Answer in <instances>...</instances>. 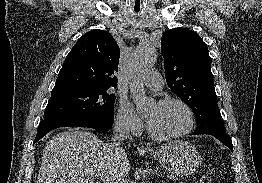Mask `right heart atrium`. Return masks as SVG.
<instances>
[{
    "label": "right heart atrium",
    "instance_id": "right-heart-atrium-1",
    "mask_svg": "<svg viewBox=\"0 0 262 183\" xmlns=\"http://www.w3.org/2000/svg\"><path fill=\"white\" fill-rule=\"evenodd\" d=\"M116 128L127 134H139L143 124L132 109L125 103L120 102L115 115Z\"/></svg>",
    "mask_w": 262,
    "mask_h": 183
}]
</instances>
